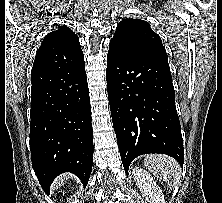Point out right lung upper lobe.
Listing matches in <instances>:
<instances>
[{"mask_svg":"<svg viewBox=\"0 0 222 203\" xmlns=\"http://www.w3.org/2000/svg\"><path fill=\"white\" fill-rule=\"evenodd\" d=\"M81 62H84V56L79 38L71 29L61 26L44 37L36 53L32 72Z\"/></svg>","mask_w":222,"mask_h":203,"instance_id":"cb5924a9","label":"right lung upper lobe"}]
</instances>
